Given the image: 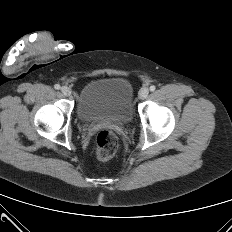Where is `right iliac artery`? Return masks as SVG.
<instances>
[{"instance_id":"right-iliac-artery-1","label":"right iliac artery","mask_w":232,"mask_h":232,"mask_svg":"<svg viewBox=\"0 0 232 232\" xmlns=\"http://www.w3.org/2000/svg\"><path fill=\"white\" fill-rule=\"evenodd\" d=\"M54 88L57 89V90H59L60 89V85L59 84H55Z\"/></svg>"}]
</instances>
